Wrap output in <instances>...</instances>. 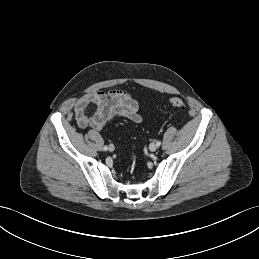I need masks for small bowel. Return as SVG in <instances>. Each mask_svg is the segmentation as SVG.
<instances>
[{
	"label": "small bowel",
	"instance_id": "1",
	"mask_svg": "<svg viewBox=\"0 0 259 259\" xmlns=\"http://www.w3.org/2000/svg\"><path fill=\"white\" fill-rule=\"evenodd\" d=\"M90 106H95L96 111L88 116L87 109ZM74 111L80 128L91 127L100 132L104 131L107 123L115 118H126L135 123L142 121L137 101L125 90L87 94L75 102Z\"/></svg>",
	"mask_w": 259,
	"mask_h": 259
}]
</instances>
